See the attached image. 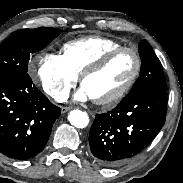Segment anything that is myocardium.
Instances as JSON below:
<instances>
[{"instance_id": "myocardium-1", "label": "myocardium", "mask_w": 183, "mask_h": 183, "mask_svg": "<svg viewBox=\"0 0 183 183\" xmlns=\"http://www.w3.org/2000/svg\"><path fill=\"white\" fill-rule=\"evenodd\" d=\"M121 52H130L133 54L135 58V68L134 71L128 80V82L125 84L123 88H121L119 91L114 93L113 95L103 98V99H93V102L98 105H114L117 102H119L122 98L126 96V94L131 90L133 85L135 84L137 78L139 77L141 68H142V59L139 54V52L132 47H126V46H120L117 48H114L107 53H105L103 56H101L96 62L91 64L88 68H86L82 74L80 75V84L83 86V83L86 78L89 76L101 71L103 68H105L109 62L119 53Z\"/></svg>"}]
</instances>
